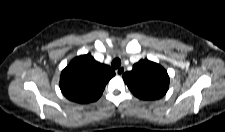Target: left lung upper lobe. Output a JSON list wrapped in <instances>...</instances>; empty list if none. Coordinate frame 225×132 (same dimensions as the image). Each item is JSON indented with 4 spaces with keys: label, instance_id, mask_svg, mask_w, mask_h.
<instances>
[{
    "label": "left lung upper lobe",
    "instance_id": "5c2ea615",
    "mask_svg": "<svg viewBox=\"0 0 225 132\" xmlns=\"http://www.w3.org/2000/svg\"><path fill=\"white\" fill-rule=\"evenodd\" d=\"M123 79L131 92L144 100L161 98L169 87V76L166 70L148 59L134 64L132 71L124 73Z\"/></svg>",
    "mask_w": 225,
    "mask_h": 132
}]
</instances>
